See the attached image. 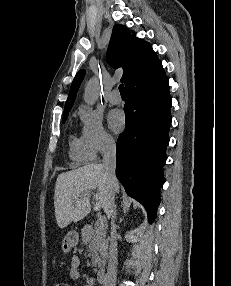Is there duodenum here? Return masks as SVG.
Instances as JSON below:
<instances>
[{"label":"duodenum","mask_w":231,"mask_h":286,"mask_svg":"<svg viewBox=\"0 0 231 286\" xmlns=\"http://www.w3.org/2000/svg\"><path fill=\"white\" fill-rule=\"evenodd\" d=\"M98 283L103 284L106 281V273L104 269H100L96 274Z\"/></svg>","instance_id":"410a0bca"}]
</instances>
